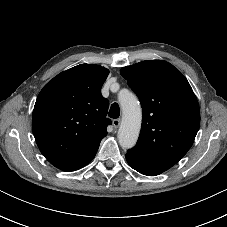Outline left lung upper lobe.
I'll list each match as a JSON object with an SVG mask.
<instances>
[{"label": "left lung upper lobe", "mask_w": 227, "mask_h": 227, "mask_svg": "<svg viewBox=\"0 0 227 227\" xmlns=\"http://www.w3.org/2000/svg\"><path fill=\"white\" fill-rule=\"evenodd\" d=\"M121 75L139 97L143 118L140 137L126 159L164 172L190 149L200 126L197 98L182 73L163 60L124 67Z\"/></svg>", "instance_id": "left-lung-upper-lobe-1"}]
</instances>
